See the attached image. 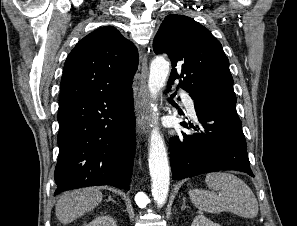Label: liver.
Masks as SVG:
<instances>
[{"instance_id": "obj_1", "label": "liver", "mask_w": 297, "mask_h": 226, "mask_svg": "<svg viewBox=\"0 0 297 226\" xmlns=\"http://www.w3.org/2000/svg\"><path fill=\"white\" fill-rule=\"evenodd\" d=\"M97 188H84L64 193L57 201L55 212L62 224H68L93 210L102 201Z\"/></svg>"}]
</instances>
